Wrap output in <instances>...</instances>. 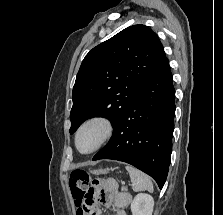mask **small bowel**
<instances>
[{"instance_id": "1", "label": "small bowel", "mask_w": 223, "mask_h": 215, "mask_svg": "<svg viewBox=\"0 0 223 215\" xmlns=\"http://www.w3.org/2000/svg\"><path fill=\"white\" fill-rule=\"evenodd\" d=\"M131 202V195L128 192L119 191L115 181L111 179H97L86 189L84 203L93 207L91 215H100L98 204L114 207L112 215H126L124 209ZM78 215H83L79 214Z\"/></svg>"}]
</instances>
